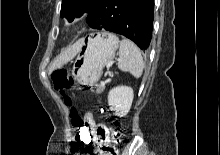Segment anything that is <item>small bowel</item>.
Wrapping results in <instances>:
<instances>
[{
	"instance_id": "1",
	"label": "small bowel",
	"mask_w": 220,
	"mask_h": 155,
	"mask_svg": "<svg viewBox=\"0 0 220 155\" xmlns=\"http://www.w3.org/2000/svg\"><path fill=\"white\" fill-rule=\"evenodd\" d=\"M84 123H88V128L87 129L91 130L90 135L93 136V139H92V143H93L95 138H96V133H97V130L99 128V124H97L95 122V120L93 119L91 114L86 115V117L84 119ZM84 145H91V144H84Z\"/></svg>"
}]
</instances>
